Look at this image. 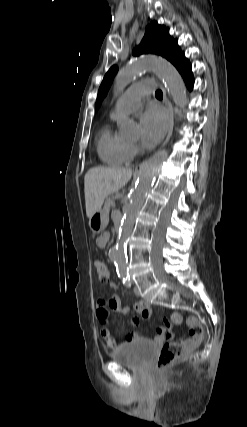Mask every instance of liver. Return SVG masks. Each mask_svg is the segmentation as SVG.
Listing matches in <instances>:
<instances>
[{"label":"liver","instance_id":"obj_1","mask_svg":"<svg viewBox=\"0 0 247 427\" xmlns=\"http://www.w3.org/2000/svg\"><path fill=\"white\" fill-rule=\"evenodd\" d=\"M131 176L132 170L127 168H90L84 177L87 217L90 219L101 210L105 198L125 186Z\"/></svg>","mask_w":247,"mask_h":427}]
</instances>
